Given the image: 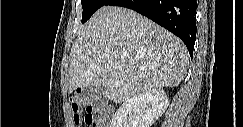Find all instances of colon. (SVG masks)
Listing matches in <instances>:
<instances>
[{
	"instance_id": "1",
	"label": "colon",
	"mask_w": 243,
	"mask_h": 127,
	"mask_svg": "<svg viewBox=\"0 0 243 127\" xmlns=\"http://www.w3.org/2000/svg\"><path fill=\"white\" fill-rule=\"evenodd\" d=\"M70 107L76 126L85 123L91 127H105L108 123V109L98 104L86 102L81 94H74L70 97Z\"/></svg>"
}]
</instances>
